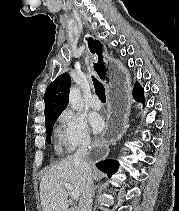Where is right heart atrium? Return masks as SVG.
<instances>
[{
  "instance_id": "right-heart-atrium-1",
  "label": "right heart atrium",
  "mask_w": 179,
  "mask_h": 211,
  "mask_svg": "<svg viewBox=\"0 0 179 211\" xmlns=\"http://www.w3.org/2000/svg\"><path fill=\"white\" fill-rule=\"evenodd\" d=\"M58 139L63 148L70 152L91 141L89 127L85 119L72 110H65L58 119Z\"/></svg>"
}]
</instances>
